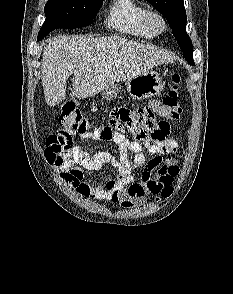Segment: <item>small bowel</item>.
<instances>
[{"label":"small bowel","instance_id":"small-bowel-1","mask_svg":"<svg viewBox=\"0 0 233 294\" xmlns=\"http://www.w3.org/2000/svg\"><path fill=\"white\" fill-rule=\"evenodd\" d=\"M141 108H116L111 113L114 121H107L106 128L98 127L83 135L111 141L119 146L120 156H112L103 149H74L68 158L48 159L46 156L54 135L46 140L45 156L60 173V179L85 198L107 201L124 208L143 204L149 195H157L164 188H171L179 172L176 159L169 157L178 150V143L169 137L170 120H163L161 110L141 104ZM128 128V129H125ZM130 134V140L121 131ZM142 141V144L139 142ZM145 154H156L146 161ZM131 157V158H130ZM117 168V174L101 185L88 183L85 171L99 170L104 165ZM143 167L141 181L133 179L132 170Z\"/></svg>","mask_w":233,"mask_h":294}]
</instances>
